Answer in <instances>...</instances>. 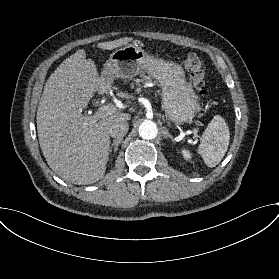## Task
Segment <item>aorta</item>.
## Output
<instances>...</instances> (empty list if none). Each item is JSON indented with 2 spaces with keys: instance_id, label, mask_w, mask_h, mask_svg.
Masks as SVG:
<instances>
[{
  "instance_id": "obj_1",
  "label": "aorta",
  "mask_w": 279,
  "mask_h": 279,
  "mask_svg": "<svg viewBox=\"0 0 279 279\" xmlns=\"http://www.w3.org/2000/svg\"><path fill=\"white\" fill-rule=\"evenodd\" d=\"M138 131L140 137L147 140L154 139L158 134L156 124L150 120L143 121L140 124Z\"/></svg>"
}]
</instances>
